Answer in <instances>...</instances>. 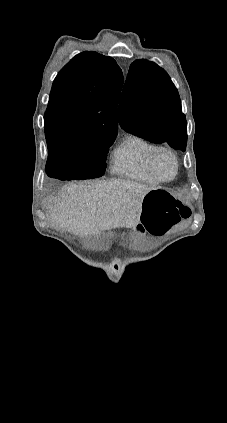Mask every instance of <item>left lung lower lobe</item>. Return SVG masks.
Returning <instances> with one entry per match:
<instances>
[{
    "instance_id": "0a47b994",
    "label": "left lung lower lobe",
    "mask_w": 227,
    "mask_h": 423,
    "mask_svg": "<svg viewBox=\"0 0 227 423\" xmlns=\"http://www.w3.org/2000/svg\"><path fill=\"white\" fill-rule=\"evenodd\" d=\"M185 146L184 147H178V148H176V149H180V150H182V151H184L185 150Z\"/></svg>"
}]
</instances>
